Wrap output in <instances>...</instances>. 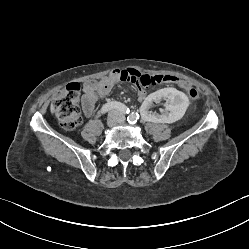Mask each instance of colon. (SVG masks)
Returning a JSON list of instances; mask_svg holds the SVG:
<instances>
[{"label": "colon", "instance_id": "1", "mask_svg": "<svg viewBox=\"0 0 249 249\" xmlns=\"http://www.w3.org/2000/svg\"><path fill=\"white\" fill-rule=\"evenodd\" d=\"M139 80L144 89L153 87L161 82L178 83L182 87L187 88V95L192 100L198 98L197 90L195 88L188 87V82L179 80L177 77L171 75L152 76L142 74V77ZM79 93L80 85L74 82L67 84L54 96L53 110L60 126L65 130H73L82 122V116L78 107Z\"/></svg>", "mask_w": 249, "mask_h": 249}]
</instances>
